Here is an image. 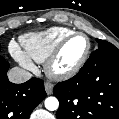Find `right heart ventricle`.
Segmentation results:
<instances>
[{
	"label": "right heart ventricle",
	"mask_w": 119,
	"mask_h": 119,
	"mask_svg": "<svg viewBox=\"0 0 119 119\" xmlns=\"http://www.w3.org/2000/svg\"><path fill=\"white\" fill-rule=\"evenodd\" d=\"M74 32L63 26H55L41 32L26 34L22 37L25 53L34 61L43 63L65 36Z\"/></svg>",
	"instance_id": "right-heart-ventricle-1"
}]
</instances>
